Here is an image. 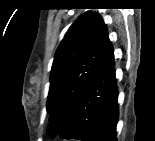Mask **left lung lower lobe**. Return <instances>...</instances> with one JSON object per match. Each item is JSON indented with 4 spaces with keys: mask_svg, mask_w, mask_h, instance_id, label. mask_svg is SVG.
Returning <instances> with one entry per match:
<instances>
[{
    "mask_svg": "<svg viewBox=\"0 0 155 141\" xmlns=\"http://www.w3.org/2000/svg\"><path fill=\"white\" fill-rule=\"evenodd\" d=\"M118 117L114 51L110 42L60 135L80 141H116Z\"/></svg>",
    "mask_w": 155,
    "mask_h": 141,
    "instance_id": "obj_1",
    "label": "left lung lower lobe"
}]
</instances>
